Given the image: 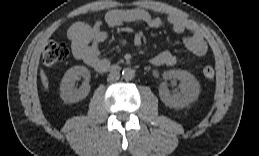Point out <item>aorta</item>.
I'll return each instance as SVG.
<instances>
[{"label":"aorta","mask_w":259,"mask_h":156,"mask_svg":"<svg viewBox=\"0 0 259 156\" xmlns=\"http://www.w3.org/2000/svg\"><path fill=\"white\" fill-rule=\"evenodd\" d=\"M122 76L125 80H132L135 77V71L132 68H125L122 71Z\"/></svg>","instance_id":"aorta-1"}]
</instances>
